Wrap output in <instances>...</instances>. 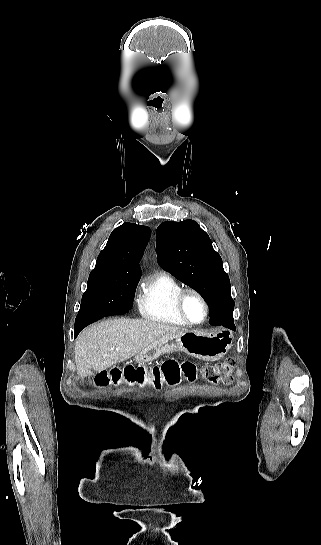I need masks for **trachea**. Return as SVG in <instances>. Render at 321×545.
Instances as JSON below:
<instances>
[{
    "mask_svg": "<svg viewBox=\"0 0 321 545\" xmlns=\"http://www.w3.org/2000/svg\"><path fill=\"white\" fill-rule=\"evenodd\" d=\"M156 112L157 113H162L163 112V107L162 106H157L156 107Z\"/></svg>",
    "mask_w": 321,
    "mask_h": 545,
    "instance_id": "obj_1",
    "label": "trachea"
}]
</instances>
